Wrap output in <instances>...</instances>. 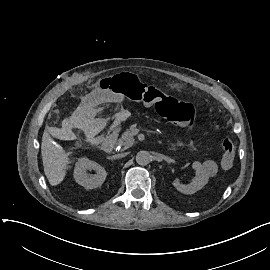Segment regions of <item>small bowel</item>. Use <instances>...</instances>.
I'll use <instances>...</instances> for the list:
<instances>
[{
    "mask_svg": "<svg viewBox=\"0 0 270 270\" xmlns=\"http://www.w3.org/2000/svg\"><path fill=\"white\" fill-rule=\"evenodd\" d=\"M97 95L102 102L120 103L123 101L122 95L114 92H98Z\"/></svg>",
    "mask_w": 270,
    "mask_h": 270,
    "instance_id": "small-bowel-1",
    "label": "small bowel"
}]
</instances>
